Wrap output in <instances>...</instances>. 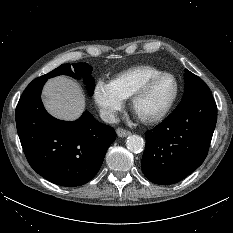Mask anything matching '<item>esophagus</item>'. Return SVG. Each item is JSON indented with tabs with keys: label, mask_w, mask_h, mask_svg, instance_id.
<instances>
[{
	"label": "esophagus",
	"mask_w": 233,
	"mask_h": 233,
	"mask_svg": "<svg viewBox=\"0 0 233 233\" xmlns=\"http://www.w3.org/2000/svg\"><path fill=\"white\" fill-rule=\"evenodd\" d=\"M116 133L119 137H127L131 134L129 131H127L123 128H117Z\"/></svg>",
	"instance_id": "obj_1"
}]
</instances>
